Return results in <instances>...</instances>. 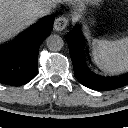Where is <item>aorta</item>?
Here are the masks:
<instances>
[{
	"mask_svg": "<svg viewBox=\"0 0 128 128\" xmlns=\"http://www.w3.org/2000/svg\"><path fill=\"white\" fill-rule=\"evenodd\" d=\"M46 45L50 51H60L64 46L63 39L55 34H51L46 39Z\"/></svg>",
	"mask_w": 128,
	"mask_h": 128,
	"instance_id": "aorta-1",
	"label": "aorta"
}]
</instances>
